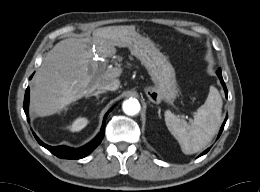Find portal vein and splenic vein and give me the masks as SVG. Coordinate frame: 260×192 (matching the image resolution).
<instances>
[{
    "mask_svg": "<svg viewBox=\"0 0 260 192\" xmlns=\"http://www.w3.org/2000/svg\"><path fill=\"white\" fill-rule=\"evenodd\" d=\"M121 73H122V69L121 68H113L110 71V75L111 76H115V77L119 76Z\"/></svg>",
    "mask_w": 260,
    "mask_h": 192,
    "instance_id": "18ae733b",
    "label": "portal vein and splenic vein"
}]
</instances>
